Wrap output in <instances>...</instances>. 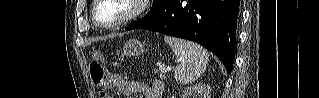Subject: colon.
<instances>
[{
	"label": "colon",
	"instance_id": "obj_1",
	"mask_svg": "<svg viewBox=\"0 0 319 98\" xmlns=\"http://www.w3.org/2000/svg\"><path fill=\"white\" fill-rule=\"evenodd\" d=\"M92 55L94 60L89 67L91 79L96 86L103 87L108 81V75L100 63L102 55L98 51H93ZM100 98H109V96L103 91L100 93Z\"/></svg>",
	"mask_w": 319,
	"mask_h": 98
}]
</instances>
